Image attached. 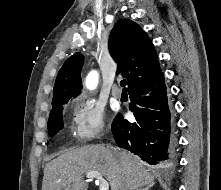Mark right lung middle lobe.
Instances as JSON below:
<instances>
[{"instance_id": "obj_1", "label": "right lung middle lobe", "mask_w": 221, "mask_h": 190, "mask_svg": "<svg viewBox=\"0 0 221 190\" xmlns=\"http://www.w3.org/2000/svg\"><path fill=\"white\" fill-rule=\"evenodd\" d=\"M67 102L68 100H63L52 104V110L47 125L50 135H55L63 128L62 110L63 105Z\"/></svg>"}]
</instances>
